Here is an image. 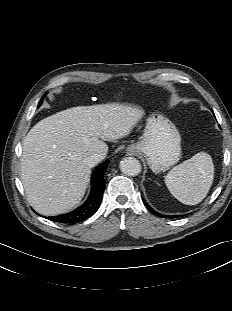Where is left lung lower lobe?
<instances>
[{
  "instance_id": "left-lung-lower-lobe-1",
  "label": "left lung lower lobe",
  "mask_w": 232,
  "mask_h": 311,
  "mask_svg": "<svg viewBox=\"0 0 232 311\" xmlns=\"http://www.w3.org/2000/svg\"><path fill=\"white\" fill-rule=\"evenodd\" d=\"M145 203V205L147 206V208L151 211V212H153L155 215H157V216H159V217H167V218H170V217H177V216H165V215H161V214H159V213H157V212H155L152 208H150L149 207V205L148 204H146V202H144Z\"/></svg>"
}]
</instances>
